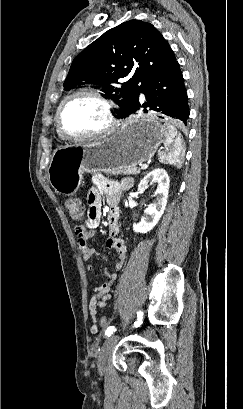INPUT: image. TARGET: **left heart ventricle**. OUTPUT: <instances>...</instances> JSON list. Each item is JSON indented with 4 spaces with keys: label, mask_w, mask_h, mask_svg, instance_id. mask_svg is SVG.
Masks as SVG:
<instances>
[{
    "label": "left heart ventricle",
    "mask_w": 243,
    "mask_h": 409,
    "mask_svg": "<svg viewBox=\"0 0 243 409\" xmlns=\"http://www.w3.org/2000/svg\"><path fill=\"white\" fill-rule=\"evenodd\" d=\"M106 124L102 104L85 95L71 99L62 114L63 129L71 135L91 134L103 129Z\"/></svg>",
    "instance_id": "left-heart-ventricle-1"
}]
</instances>
